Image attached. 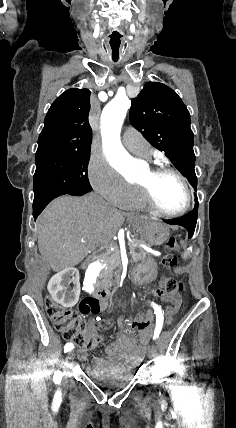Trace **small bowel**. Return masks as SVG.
Wrapping results in <instances>:
<instances>
[{"mask_svg":"<svg viewBox=\"0 0 236 428\" xmlns=\"http://www.w3.org/2000/svg\"><path fill=\"white\" fill-rule=\"evenodd\" d=\"M154 294L160 295L161 291L155 290ZM169 298L171 301L175 299V297L171 295ZM106 307L107 304L102 303V308L105 309ZM150 307L152 310L141 315L145 322L142 327H137L134 324L127 325L123 318L119 319V333L117 339L115 342L109 344L105 350L109 359L118 361H139L143 358L145 345L151 334V323L155 310L163 311L162 307L155 302H150ZM103 326L108 328L111 326V322L106 321ZM134 335L137 336L136 339ZM78 357L82 362L89 364L90 359L86 349H81ZM97 363H99V361L96 360V364Z\"/></svg>","mask_w":236,"mask_h":428,"instance_id":"1","label":"small bowel"}]
</instances>
